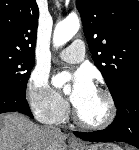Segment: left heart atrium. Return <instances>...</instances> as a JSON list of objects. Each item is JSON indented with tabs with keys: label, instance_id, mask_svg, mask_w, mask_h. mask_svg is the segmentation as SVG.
<instances>
[{
	"label": "left heart atrium",
	"instance_id": "1",
	"mask_svg": "<svg viewBox=\"0 0 139 150\" xmlns=\"http://www.w3.org/2000/svg\"><path fill=\"white\" fill-rule=\"evenodd\" d=\"M54 82L57 87H62L66 83L72 82L73 90L70 99L74 105H77L95 90L91 75L84 70H79L74 74H58Z\"/></svg>",
	"mask_w": 139,
	"mask_h": 150
}]
</instances>
